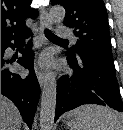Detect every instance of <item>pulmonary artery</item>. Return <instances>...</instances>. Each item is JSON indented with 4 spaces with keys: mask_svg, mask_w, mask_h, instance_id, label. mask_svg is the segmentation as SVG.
Listing matches in <instances>:
<instances>
[{
    "mask_svg": "<svg viewBox=\"0 0 123 130\" xmlns=\"http://www.w3.org/2000/svg\"><path fill=\"white\" fill-rule=\"evenodd\" d=\"M57 35L60 37V38H68V39H72V40H75V37L72 33V31L67 28V27H64V26H60L57 30Z\"/></svg>",
    "mask_w": 123,
    "mask_h": 130,
    "instance_id": "e3ab8cb5",
    "label": "pulmonary artery"
}]
</instances>
